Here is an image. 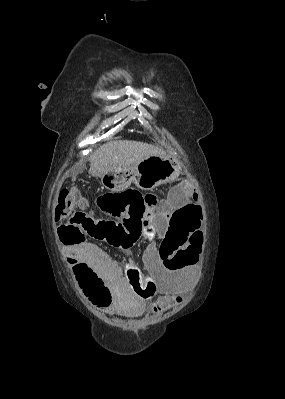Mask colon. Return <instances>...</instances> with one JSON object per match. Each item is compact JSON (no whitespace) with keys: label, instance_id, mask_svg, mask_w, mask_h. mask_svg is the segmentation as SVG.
Listing matches in <instances>:
<instances>
[{"label":"colon","instance_id":"obj_1","mask_svg":"<svg viewBox=\"0 0 285 399\" xmlns=\"http://www.w3.org/2000/svg\"><path fill=\"white\" fill-rule=\"evenodd\" d=\"M193 190V184L187 181L179 182L172 186L174 193L189 192ZM154 198H141L134 196L132 192L126 191L119 194H104L99 199V207L106 210H113L121 220L112 224H106L102 238L114 246L131 248L143 235L144 230L149 226L147 206H155ZM91 204L84 203L80 190L77 187L62 188L57 197L55 205V217L61 222L59 232L61 240L66 244H79L85 238L86 228H94L95 222L89 216ZM189 218L186 208L178 209L173 217L174 222H183ZM71 234L66 237L63 232ZM159 259L162 261V268L165 270L181 269L190 261L185 257L183 249L179 244H164L158 251ZM78 277L82 284L90 291L102 294L106 301H110V293L106 284L98 278L89 265H82L77 268ZM144 281H134L124 293L131 302H135ZM146 292L153 291V283L147 282Z\"/></svg>","mask_w":285,"mask_h":399}]
</instances>
